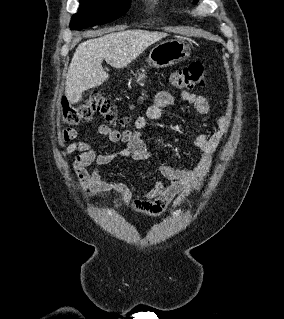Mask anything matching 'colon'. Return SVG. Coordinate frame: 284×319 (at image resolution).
Masks as SVG:
<instances>
[{
  "instance_id": "1",
  "label": "colon",
  "mask_w": 284,
  "mask_h": 319,
  "mask_svg": "<svg viewBox=\"0 0 284 319\" xmlns=\"http://www.w3.org/2000/svg\"><path fill=\"white\" fill-rule=\"evenodd\" d=\"M204 65L201 62H193L186 67L173 71L169 75V82L178 89H193L204 85ZM95 114H101L104 118L115 125H125V120H119L108 98L95 92L77 107L64 108L62 121L67 126H74L91 118Z\"/></svg>"
}]
</instances>
